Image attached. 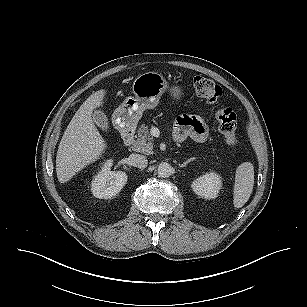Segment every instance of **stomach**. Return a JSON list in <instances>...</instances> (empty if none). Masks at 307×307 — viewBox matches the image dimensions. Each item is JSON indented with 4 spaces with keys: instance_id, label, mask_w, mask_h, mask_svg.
I'll use <instances>...</instances> for the list:
<instances>
[{
    "instance_id": "0dacf381",
    "label": "stomach",
    "mask_w": 307,
    "mask_h": 307,
    "mask_svg": "<svg viewBox=\"0 0 307 307\" xmlns=\"http://www.w3.org/2000/svg\"><path fill=\"white\" fill-rule=\"evenodd\" d=\"M167 90L176 100L181 99L183 95L180 86H169L166 79L157 72L139 75L132 84L134 96L127 97L112 115L115 127L119 130L135 127L144 110L155 108Z\"/></svg>"
}]
</instances>
